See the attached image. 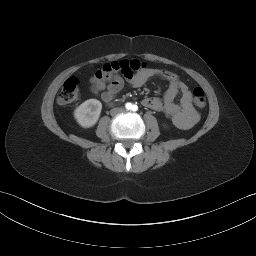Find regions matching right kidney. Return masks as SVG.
Wrapping results in <instances>:
<instances>
[{
    "mask_svg": "<svg viewBox=\"0 0 256 256\" xmlns=\"http://www.w3.org/2000/svg\"><path fill=\"white\" fill-rule=\"evenodd\" d=\"M102 104L97 99H88L74 110V118L84 128L92 127L100 117Z\"/></svg>",
    "mask_w": 256,
    "mask_h": 256,
    "instance_id": "ca27d5eb",
    "label": "right kidney"
}]
</instances>
